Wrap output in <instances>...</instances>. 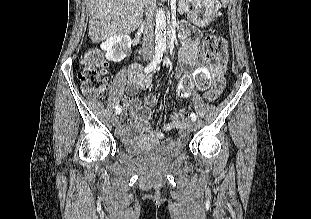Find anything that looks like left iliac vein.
<instances>
[{"mask_svg":"<svg viewBox=\"0 0 311 219\" xmlns=\"http://www.w3.org/2000/svg\"><path fill=\"white\" fill-rule=\"evenodd\" d=\"M188 127H189L190 131H195L196 128H197V124H196L195 121L192 120V121L189 122Z\"/></svg>","mask_w":311,"mask_h":219,"instance_id":"obj_1","label":"left iliac vein"}]
</instances>
